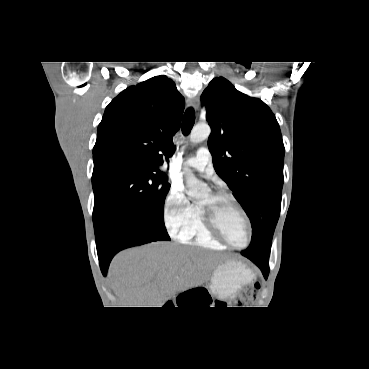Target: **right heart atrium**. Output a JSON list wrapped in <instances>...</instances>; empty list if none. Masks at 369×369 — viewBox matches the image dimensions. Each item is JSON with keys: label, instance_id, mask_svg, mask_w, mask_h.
Returning <instances> with one entry per match:
<instances>
[{"label": "right heart atrium", "instance_id": "d8ad5b80", "mask_svg": "<svg viewBox=\"0 0 369 369\" xmlns=\"http://www.w3.org/2000/svg\"><path fill=\"white\" fill-rule=\"evenodd\" d=\"M195 212L193 205L179 185L169 189L163 204V216L167 230L173 236L185 233Z\"/></svg>", "mask_w": 369, "mask_h": 369}]
</instances>
